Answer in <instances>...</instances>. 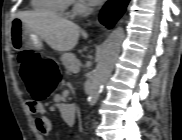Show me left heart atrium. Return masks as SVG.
I'll return each instance as SVG.
<instances>
[{"mask_svg": "<svg viewBox=\"0 0 182 140\" xmlns=\"http://www.w3.org/2000/svg\"><path fill=\"white\" fill-rule=\"evenodd\" d=\"M99 0H93V2H98Z\"/></svg>", "mask_w": 182, "mask_h": 140, "instance_id": "1", "label": "left heart atrium"}]
</instances>
